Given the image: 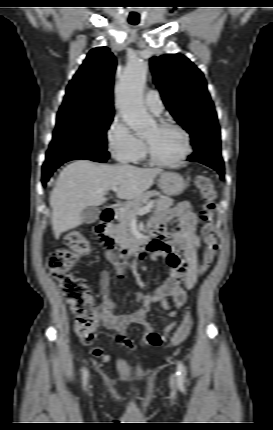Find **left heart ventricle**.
Wrapping results in <instances>:
<instances>
[{
  "label": "left heart ventricle",
  "mask_w": 273,
  "mask_h": 430,
  "mask_svg": "<svg viewBox=\"0 0 273 430\" xmlns=\"http://www.w3.org/2000/svg\"><path fill=\"white\" fill-rule=\"evenodd\" d=\"M144 139L149 142L154 155L163 161L177 159L184 150L183 136L174 129H159L153 125Z\"/></svg>",
  "instance_id": "1"
}]
</instances>
